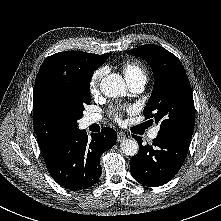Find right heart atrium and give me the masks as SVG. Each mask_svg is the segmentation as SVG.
I'll return each instance as SVG.
<instances>
[{"mask_svg":"<svg viewBox=\"0 0 221 221\" xmlns=\"http://www.w3.org/2000/svg\"><path fill=\"white\" fill-rule=\"evenodd\" d=\"M105 74L106 69L104 67L98 68L93 72L89 82V92L91 94H95L98 91L100 81Z\"/></svg>","mask_w":221,"mask_h":221,"instance_id":"obj_1","label":"right heart atrium"}]
</instances>
